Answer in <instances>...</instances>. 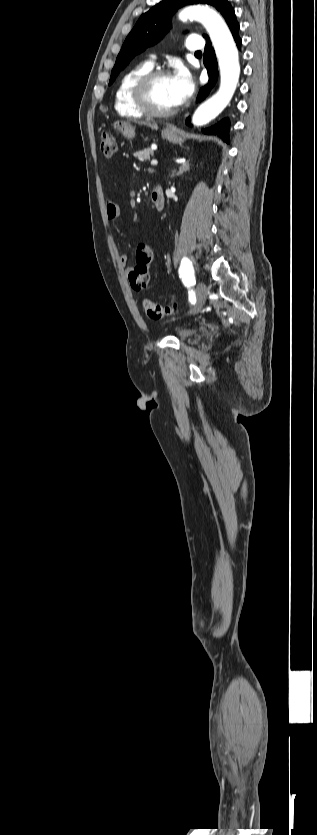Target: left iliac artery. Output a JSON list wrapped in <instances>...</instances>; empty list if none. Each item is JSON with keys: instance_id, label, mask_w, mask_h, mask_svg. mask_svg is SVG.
Returning a JSON list of instances; mask_svg holds the SVG:
<instances>
[{"instance_id": "left-iliac-artery-1", "label": "left iliac artery", "mask_w": 317, "mask_h": 835, "mask_svg": "<svg viewBox=\"0 0 317 835\" xmlns=\"http://www.w3.org/2000/svg\"><path fill=\"white\" fill-rule=\"evenodd\" d=\"M179 276L186 286L195 285L196 280L194 276L193 266L191 261L187 257L182 258L181 265L179 268Z\"/></svg>"}]
</instances>
